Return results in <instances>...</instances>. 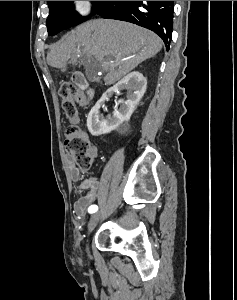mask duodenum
I'll list each match as a JSON object with an SVG mask.
<instances>
[{
  "label": "duodenum",
  "mask_w": 237,
  "mask_h": 300,
  "mask_svg": "<svg viewBox=\"0 0 237 300\" xmlns=\"http://www.w3.org/2000/svg\"><path fill=\"white\" fill-rule=\"evenodd\" d=\"M73 81L79 88H81V89L86 88V81H85L84 77L81 74H79V73L75 74L73 76ZM88 94L91 95V92L88 91Z\"/></svg>",
  "instance_id": "410a0bca"
}]
</instances>
